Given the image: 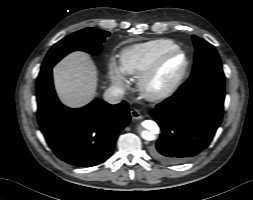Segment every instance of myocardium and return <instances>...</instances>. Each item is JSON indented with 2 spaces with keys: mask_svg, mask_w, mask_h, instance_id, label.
Masks as SVG:
<instances>
[{
  "mask_svg": "<svg viewBox=\"0 0 253 200\" xmlns=\"http://www.w3.org/2000/svg\"><path fill=\"white\" fill-rule=\"evenodd\" d=\"M180 55L183 57V65L178 74L164 87L154 89L151 84L162 64L170 57ZM189 69L187 54L178 48L168 50L160 54L151 65L144 70L138 78V89L140 94L148 101H161L170 97L181 85Z\"/></svg>",
  "mask_w": 253,
  "mask_h": 200,
  "instance_id": "myocardium-1",
  "label": "myocardium"
}]
</instances>
